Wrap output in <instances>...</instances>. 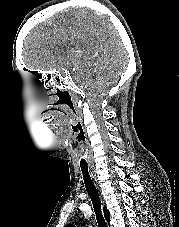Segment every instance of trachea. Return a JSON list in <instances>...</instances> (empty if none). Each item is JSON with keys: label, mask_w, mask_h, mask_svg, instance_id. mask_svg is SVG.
<instances>
[{"label": "trachea", "mask_w": 179, "mask_h": 227, "mask_svg": "<svg viewBox=\"0 0 179 227\" xmlns=\"http://www.w3.org/2000/svg\"><path fill=\"white\" fill-rule=\"evenodd\" d=\"M83 153L84 152L81 150L77 156L79 158L80 157L82 158L78 162L80 164V168L83 174L86 191L88 192V195L91 198L93 208L97 218L98 227H106V222L101 213V202H100L99 193L89 175L87 160L83 159L85 157Z\"/></svg>", "instance_id": "3493384b"}]
</instances>
